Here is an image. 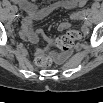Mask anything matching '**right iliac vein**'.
<instances>
[{
    "label": "right iliac vein",
    "mask_w": 103,
    "mask_h": 103,
    "mask_svg": "<svg viewBox=\"0 0 103 103\" xmlns=\"http://www.w3.org/2000/svg\"><path fill=\"white\" fill-rule=\"evenodd\" d=\"M14 18H15V15H14V14H10V15H9V19H10V20H14Z\"/></svg>",
    "instance_id": "obj_1"
}]
</instances>
